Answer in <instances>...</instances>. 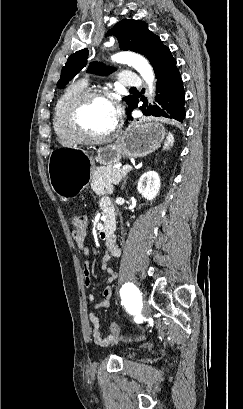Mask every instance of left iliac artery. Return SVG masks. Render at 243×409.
Segmentation results:
<instances>
[{"label":"left iliac artery","mask_w":243,"mask_h":409,"mask_svg":"<svg viewBox=\"0 0 243 409\" xmlns=\"http://www.w3.org/2000/svg\"><path fill=\"white\" fill-rule=\"evenodd\" d=\"M139 290L135 287V285L131 283L125 284L122 289L120 290V294L122 297L130 296L131 300L134 302L136 306H138L139 299L136 301V297L138 296ZM135 295V297H134ZM139 295H141L139 293Z\"/></svg>","instance_id":"44dca946"}]
</instances>
